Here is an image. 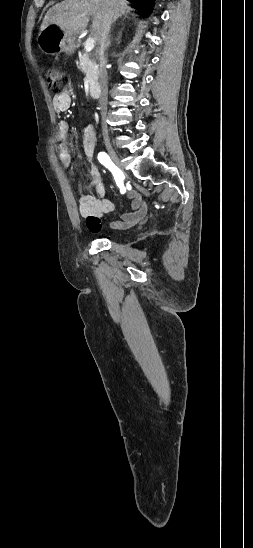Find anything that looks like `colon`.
<instances>
[{
  "mask_svg": "<svg viewBox=\"0 0 253 548\" xmlns=\"http://www.w3.org/2000/svg\"><path fill=\"white\" fill-rule=\"evenodd\" d=\"M46 81L52 93H62L69 83L68 75L59 67L52 66L46 72Z\"/></svg>",
  "mask_w": 253,
  "mask_h": 548,
  "instance_id": "5ec220e1",
  "label": "colon"
}]
</instances>
